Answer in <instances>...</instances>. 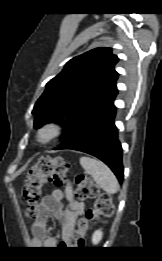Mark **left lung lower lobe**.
Masks as SVG:
<instances>
[{"label": "left lung lower lobe", "mask_w": 162, "mask_h": 261, "mask_svg": "<svg viewBox=\"0 0 162 261\" xmlns=\"http://www.w3.org/2000/svg\"><path fill=\"white\" fill-rule=\"evenodd\" d=\"M115 114L116 107L113 99L76 128L54 150L72 149L93 155L107 164L122 182L123 150L114 123Z\"/></svg>", "instance_id": "left-lung-lower-lobe-1"}]
</instances>
